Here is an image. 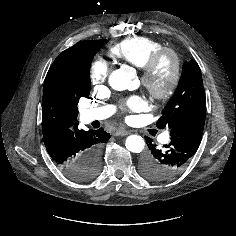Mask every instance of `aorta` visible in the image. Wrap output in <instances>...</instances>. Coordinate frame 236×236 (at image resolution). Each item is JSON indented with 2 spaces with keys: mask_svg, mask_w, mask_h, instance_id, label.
<instances>
[{
  "mask_svg": "<svg viewBox=\"0 0 236 236\" xmlns=\"http://www.w3.org/2000/svg\"><path fill=\"white\" fill-rule=\"evenodd\" d=\"M136 72L132 67L125 66L114 70L109 76V85L117 91L134 89ZM126 148L133 153H140L145 147V141L141 136L130 135L125 142Z\"/></svg>",
  "mask_w": 236,
  "mask_h": 236,
  "instance_id": "762f6f07",
  "label": "aorta"
}]
</instances>
